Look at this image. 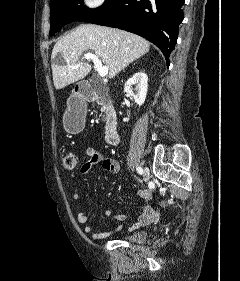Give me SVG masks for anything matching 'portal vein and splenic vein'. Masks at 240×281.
Segmentation results:
<instances>
[{
    "instance_id": "portal-vein-and-splenic-vein-1",
    "label": "portal vein and splenic vein",
    "mask_w": 240,
    "mask_h": 281,
    "mask_svg": "<svg viewBox=\"0 0 240 281\" xmlns=\"http://www.w3.org/2000/svg\"><path fill=\"white\" fill-rule=\"evenodd\" d=\"M83 59L88 61L91 60L94 63V67L97 70L100 77H105L108 74V67L102 65L97 55L92 53H86L84 54ZM80 65L81 63H79L76 66H73V68H78Z\"/></svg>"
}]
</instances>
